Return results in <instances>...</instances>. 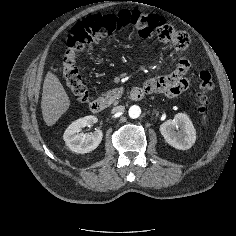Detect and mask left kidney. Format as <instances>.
Returning <instances> with one entry per match:
<instances>
[{"label": "left kidney", "mask_w": 236, "mask_h": 236, "mask_svg": "<svg viewBox=\"0 0 236 236\" xmlns=\"http://www.w3.org/2000/svg\"><path fill=\"white\" fill-rule=\"evenodd\" d=\"M160 132L168 144L180 150L191 148L196 140L195 128L184 113H178L173 120L161 124Z\"/></svg>", "instance_id": "obj_1"}]
</instances>
